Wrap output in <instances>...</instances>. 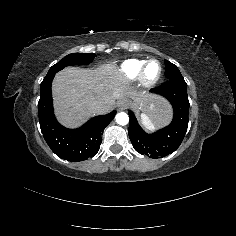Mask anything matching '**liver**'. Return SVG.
Wrapping results in <instances>:
<instances>
[{
    "label": "liver",
    "instance_id": "6515ba94",
    "mask_svg": "<svg viewBox=\"0 0 236 236\" xmlns=\"http://www.w3.org/2000/svg\"><path fill=\"white\" fill-rule=\"evenodd\" d=\"M52 93L55 115L62 125L69 128L80 126L94 113H108L115 100L123 96L131 97L143 114L156 124L163 123L164 116L169 119L171 115L169 105L129 87L113 63L96 69L66 67L55 75ZM94 100L102 102L97 112L89 107Z\"/></svg>",
    "mask_w": 236,
    "mask_h": 236
}]
</instances>
